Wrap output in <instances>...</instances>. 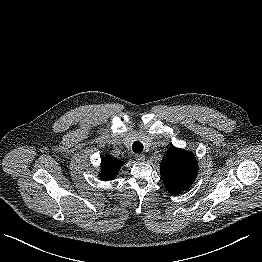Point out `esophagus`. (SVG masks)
<instances>
[{"label": "esophagus", "mask_w": 262, "mask_h": 262, "mask_svg": "<svg viewBox=\"0 0 262 262\" xmlns=\"http://www.w3.org/2000/svg\"><path fill=\"white\" fill-rule=\"evenodd\" d=\"M135 159L137 161H139V162H143V161H145V155H143V154H136L135 155Z\"/></svg>", "instance_id": "obj_1"}]
</instances>
